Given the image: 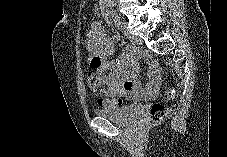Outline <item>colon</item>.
Wrapping results in <instances>:
<instances>
[{"label": "colon", "mask_w": 227, "mask_h": 157, "mask_svg": "<svg viewBox=\"0 0 227 157\" xmlns=\"http://www.w3.org/2000/svg\"><path fill=\"white\" fill-rule=\"evenodd\" d=\"M97 63V62H95ZM89 87L101 96L99 103L102 107H116L121 104L120 99H109L102 96L104 91V77L99 73H90L87 78ZM176 95L174 88H169L165 92L166 100H173ZM169 114V108L162 103H154L150 108V115L154 122L164 120Z\"/></svg>", "instance_id": "5ec220e1"}]
</instances>
